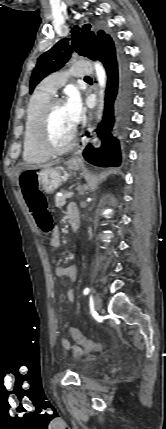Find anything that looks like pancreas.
<instances>
[{"mask_svg": "<svg viewBox=\"0 0 166 429\" xmlns=\"http://www.w3.org/2000/svg\"><path fill=\"white\" fill-rule=\"evenodd\" d=\"M66 194L55 197V205L57 208H62L66 204Z\"/></svg>", "mask_w": 166, "mask_h": 429, "instance_id": "cf45deb5", "label": "pancreas"}]
</instances>
